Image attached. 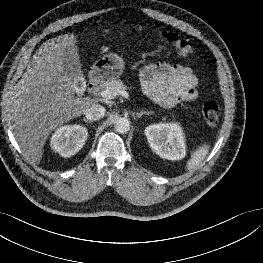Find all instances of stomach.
Segmentation results:
<instances>
[{"instance_id":"obj_1","label":"stomach","mask_w":263,"mask_h":263,"mask_svg":"<svg viewBox=\"0 0 263 263\" xmlns=\"http://www.w3.org/2000/svg\"><path fill=\"white\" fill-rule=\"evenodd\" d=\"M124 69V61L116 54H107L97 60L89 73L93 82H107L120 77Z\"/></svg>"}]
</instances>
